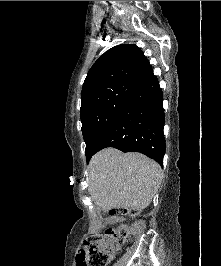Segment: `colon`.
Instances as JSON below:
<instances>
[{
	"label": "colon",
	"mask_w": 221,
	"mask_h": 266,
	"mask_svg": "<svg viewBox=\"0 0 221 266\" xmlns=\"http://www.w3.org/2000/svg\"><path fill=\"white\" fill-rule=\"evenodd\" d=\"M112 214L134 217L136 212L128 209H118ZM143 228V222L138 220L132 226L109 229L105 234L88 238L85 243V262L87 266H107L114 255L128 241Z\"/></svg>",
	"instance_id": "colon-1"
}]
</instances>
